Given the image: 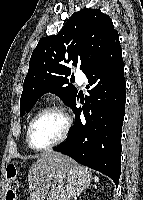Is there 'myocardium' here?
I'll list each match as a JSON object with an SVG mask.
<instances>
[{
	"label": "myocardium",
	"instance_id": "obj_1",
	"mask_svg": "<svg viewBox=\"0 0 143 200\" xmlns=\"http://www.w3.org/2000/svg\"><path fill=\"white\" fill-rule=\"evenodd\" d=\"M52 112L60 113L64 117V119H65L64 131H63L62 135L56 141H54L53 143H51V144H49L47 146H44V147H35L31 142V131H32V128H33L34 124L41 117H43L44 115H46L48 113H52ZM72 125H73L72 117H71L70 113L64 107H62L60 105H53V106L46 107L45 109H43L39 113H37L31 119V121L29 122V125L27 127V131H26V142H27L28 146L32 150H35V151H46V150H49V149H51V148L63 143L67 139V137L69 136L70 131L72 129Z\"/></svg>",
	"mask_w": 143,
	"mask_h": 200
}]
</instances>
